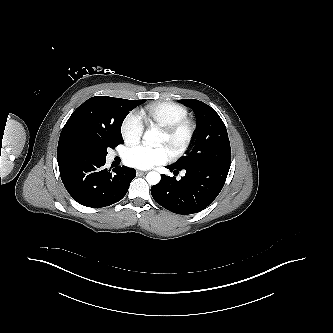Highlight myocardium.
<instances>
[{"mask_svg": "<svg viewBox=\"0 0 333 333\" xmlns=\"http://www.w3.org/2000/svg\"><path fill=\"white\" fill-rule=\"evenodd\" d=\"M161 130L166 136L171 156L176 158L184 154L189 148L195 135L196 124L192 119L186 117L162 127Z\"/></svg>", "mask_w": 333, "mask_h": 333, "instance_id": "1", "label": "myocardium"}]
</instances>
